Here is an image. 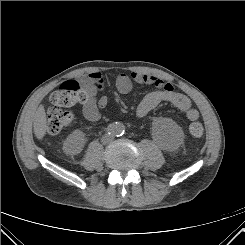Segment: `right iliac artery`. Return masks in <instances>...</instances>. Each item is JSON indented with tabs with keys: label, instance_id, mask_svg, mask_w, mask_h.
I'll use <instances>...</instances> for the list:
<instances>
[{
	"label": "right iliac artery",
	"instance_id": "1",
	"mask_svg": "<svg viewBox=\"0 0 245 245\" xmlns=\"http://www.w3.org/2000/svg\"><path fill=\"white\" fill-rule=\"evenodd\" d=\"M112 128L109 126L108 128H107V132L109 133V134H111L112 133Z\"/></svg>",
	"mask_w": 245,
	"mask_h": 245
}]
</instances>
